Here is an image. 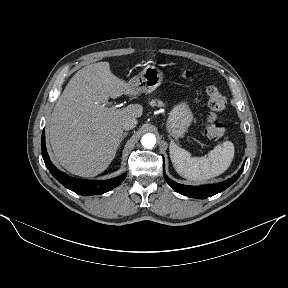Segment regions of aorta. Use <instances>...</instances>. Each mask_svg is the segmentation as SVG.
<instances>
[{
    "mask_svg": "<svg viewBox=\"0 0 288 288\" xmlns=\"http://www.w3.org/2000/svg\"><path fill=\"white\" fill-rule=\"evenodd\" d=\"M141 143L143 147L151 149L156 144V137L154 134L151 133L145 134L141 139Z\"/></svg>",
    "mask_w": 288,
    "mask_h": 288,
    "instance_id": "aorta-1",
    "label": "aorta"
}]
</instances>
